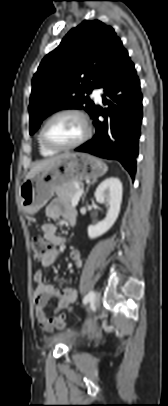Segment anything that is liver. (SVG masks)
Instances as JSON below:
<instances>
[{
  "label": "liver",
  "mask_w": 168,
  "mask_h": 406,
  "mask_svg": "<svg viewBox=\"0 0 168 406\" xmlns=\"http://www.w3.org/2000/svg\"><path fill=\"white\" fill-rule=\"evenodd\" d=\"M67 156V154H62V155H58L55 157H51L48 159H44L42 161H39L38 163H36L31 170L29 171V173L27 174L26 178L31 177L32 175H34L37 172H40L42 170H47L50 169L51 167H53L55 164H57L58 162H60L63 158H65Z\"/></svg>",
  "instance_id": "6515ba94"
}]
</instances>
